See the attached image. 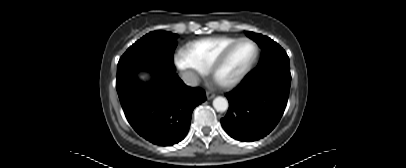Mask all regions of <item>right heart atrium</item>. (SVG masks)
<instances>
[{
	"label": "right heart atrium",
	"instance_id": "1",
	"mask_svg": "<svg viewBox=\"0 0 406 168\" xmlns=\"http://www.w3.org/2000/svg\"><path fill=\"white\" fill-rule=\"evenodd\" d=\"M175 66L185 74L188 81L196 83L201 76L205 75V71L197 67L185 53V51H178L174 55Z\"/></svg>",
	"mask_w": 406,
	"mask_h": 168
}]
</instances>
